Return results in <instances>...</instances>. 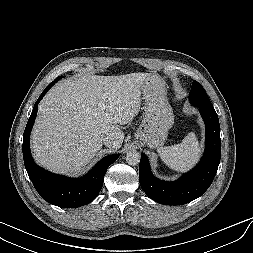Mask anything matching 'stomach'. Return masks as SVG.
I'll return each mask as SVG.
<instances>
[{
	"instance_id": "obj_1",
	"label": "stomach",
	"mask_w": 253,
	"mask_h": 253,
	"mask_svg": "<svg viewBox=\"0 0 253 253\" xmlns=\"http://www.w3.org/2000/svg\"><path fill=\"white\" fill-rule=\"evenodd\" d=\"M144 99L143 120L136 140L149 148L162 146L174 123L172 107L167 100L166 84L160 77L146 82L142 88Z\"/></svg>"
}]
</instances>
